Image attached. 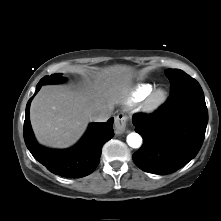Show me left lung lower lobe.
Listing matches in <instances>:
<instances>
[{"label": "left lung lower lobe", "mask_w": 221, "mask_h": 221, "mask_svg": "<svg viewBox=\"0 0 221 221\" xmlns=\"http://www.w3.org/2000/svg\"><path fill=\"white\" fill-rule=\"evenodd\" d=\"M132 122L143 138L133 154L134 163L154 174L177 171L199 152L208 122V111L199 83L182 86L151 114L137 113Z\"/></svg>", "instance_id": "0a47b994"}]
</instances>
